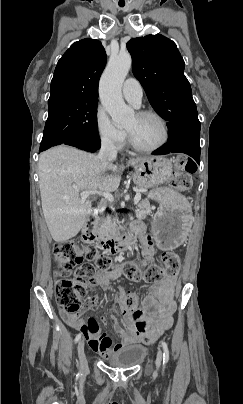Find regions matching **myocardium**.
I'll return each instance as SVG.
<instances>
[{
  "label": "myocardium",
  "instance_id": "1",
  "mask_svg": "<svg viewBox=\"0 0 243 404\" xmlns=\"http://www.w3.org/2000/svg\"><path fill=\"white\" fill-rule=\"evenodd\" d=\"M129 34H134V32H129ZM135 115L136 116H147V115L155 116L162 123L163 130H164V137L160 143H158L154 146L146 147V146H142V145L138 144L133 139L131 134L126 130L131 147L136 151L148 152V153L158 151V150L162 149L163 147H165L170 140V126H169V123L166 120V118L160 112H158L154 109L139 110L135 113Z\"/></svg>",
  "mask_w": 243,
  "mask_h": 404
}]
</instances>
